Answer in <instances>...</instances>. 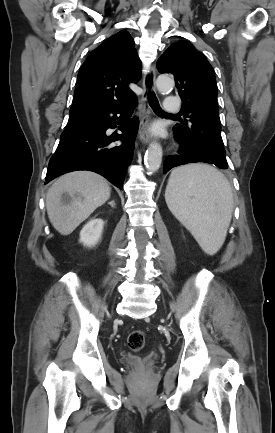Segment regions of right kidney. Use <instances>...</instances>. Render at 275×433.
I'll return each mask as SVG.
<instances>
[{
  "instance_id": "obj_1",
  "label": "right kidney",
  "mask_w": 275,
  "mask_h": 433,
  "mask_svg": "<svg viewBox=\"0 0 275 433\" xmlns=\"http://www.w3.org/2000/svg\"><path fill=\"white\" fill-rule=\"evenodd\" d=\"M104 221L100 218H93L80 231V242L84 246H95L101 239Z\"/></svg>"
}]
</instances>
